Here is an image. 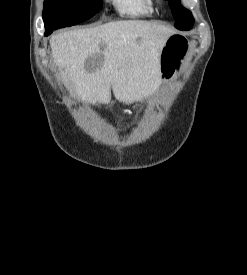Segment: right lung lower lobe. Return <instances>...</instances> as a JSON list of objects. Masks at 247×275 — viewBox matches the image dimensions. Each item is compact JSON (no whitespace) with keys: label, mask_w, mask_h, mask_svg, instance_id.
I'll return each mask as SVG.
<instances>
[{"label":"right lung lower lobe","mask_w":247,"mask_h":275,"mask_svg":"<svg viewBox=\"0 0 247 275\" xmlns=\"http://www.w3.org/2000/svg\"><path fill=\"white\" fill-rule=\"evenodd\" d=\"M49 34H51V33H50V32H46V31H45V36H48Z\"/></svg>","instance_id":"98d812e1"}]
</instances>
